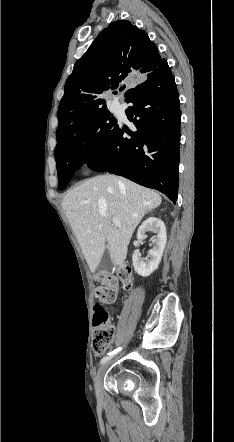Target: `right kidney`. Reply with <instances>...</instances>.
<instances>
[{
    "mask_svg": "<svg viewBox=\"0 0 234 442\" xmlns=\"http://www.w3.org/2000/svg\"><path fill=\"white\" fill-rule=\"evenodd\" d=\"M146 231H153L156 237L152 240L153 248L149 250L147 258H141L139 250L132 256L133 266L137 274L143 277L150 276L159 266L167 241L164 222L156 217H149L138 228L137 239H144Z\"/></svg>",
    "mask_w": 234,
    "mask_h": 442,
    "instance_id": "obj_1",
    "label": "right kidney"
}]
</instances>
